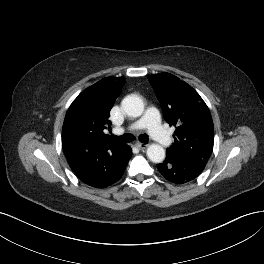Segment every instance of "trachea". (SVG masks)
Returning <instances> with one entry per match:
<instances>
[{"instance_id":"1","label":"trachea","mask_w":264,"mask_h":264,"mask_svg":"<svg viewBox=\"0 0 264 264\" xmlns=\"http://www.w3.org/2000/svg\"><path fill=\"white\" fill-rule=\"evenodd\" d=\"M111 138H114L118 141H121V142H131L133 141V136L131 134H124L122 136H115V135H112ZM139 141L143 142V143H147L149 141V138L147 135L145 134H141L139 136Z\"/></svg>"}]
</instances>
